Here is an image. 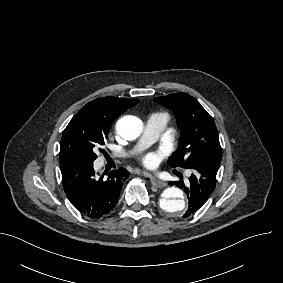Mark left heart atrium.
<instances>
[{
	"instance_id": "1",
	"label": "left heart atrium",
	"mask_w": 283,
	"mask_h": 283,
	"mask_svg": "<svg viewBox=\"0 0 283 283\" xmlns=\"http://www.w3.org/2000/svg\"><path fill=\"white\" fill-rule=\"evenodd\" d=\"M160 155L150 152L142 156L141 162L143 166L149 169H154L159 162Z\"/></svg>"
}]
</instances>
